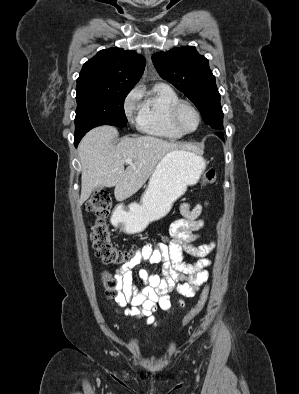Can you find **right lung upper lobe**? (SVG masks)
<instances>
[{
    "mask_svg": "<svg viewBox=\"0 0 299 394\" xmlns=\"http://www.w3.org/2000/svg\"><path fill=\"white\" fill-rule=\"evenodd\" d=\"M145 58L132 50L99 51L82 67L76 89H132L142 76Z\"/></svg>",
    "mask_w": 299,
    "mask_h": 394,
    "instance_id": "cb5924a9",
    "label": "right lung upper lobe"
}]
</instances>
